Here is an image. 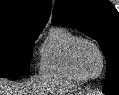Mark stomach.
<instances>
[{
    "instance_id": "0dacf381",
    "label": "stomach",
    "mask_w": 119,
    "mask_h": 95,
    "mask_svg": "<svg viewBox=\"0 0 119 95\" xmlns=\"http://www.w3.org/2000/svg\"><path fill=\"white\" fill-rule=\"evenodd\" d=\"M70 95H89L86 92H82V91H73Z\"/></svg>"
}]
</instances>
